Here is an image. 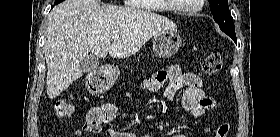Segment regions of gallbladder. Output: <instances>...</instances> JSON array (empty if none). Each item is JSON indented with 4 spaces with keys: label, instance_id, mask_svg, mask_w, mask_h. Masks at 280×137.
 Returning a JSON list of instances; mask_svg holds the SVG:
<instances>
[{
    "label": "gallbladder",
    "instance_id": "obj_1",
    "mask_svg": "<svg viewBox=\"0 0 280 137\" xmlns=\"http://www.w3.org/2000/svg\"><path fill=\"white\" fill-rule=\"evenodd\" d=\"M79 65L84 73H90L98 68L99 59L94 55H86L80 60Z\"/></svg>",
    "mask_w": 280,
    "mask_h": 137
}]
</instances>
